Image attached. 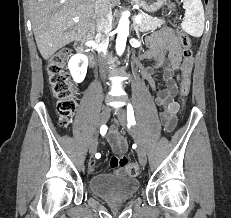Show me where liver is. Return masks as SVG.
<instances>
[{
    "label": "liver",
    "instance_id": "obj_1",
    "mask_svg": "<svg viewBox=\"0 0 231 218\" xmlns=\"http://www.w3.org/2000/svg\"><path fill=\"white\" fill-rule=\"evenodd\" d=\"M119 2L110 0L111 7ZM28 3L37 47L45 60L95 29L96 0H29ZM76 17L79 22L73 21Z\"/></svg>",
    "mask_w": 231,
    "mask_h": 218
}]
</instances>
